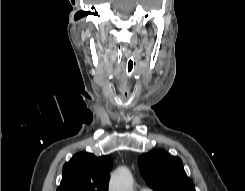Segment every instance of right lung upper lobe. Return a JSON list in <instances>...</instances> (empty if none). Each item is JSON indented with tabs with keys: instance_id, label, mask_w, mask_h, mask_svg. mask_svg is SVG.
I'll return each mask as SVG.
<instances>
[{
	"instance_id": "obj_1",
	"label": "right lung upper lobe",
	"mask_w": 245,
	"mask_h": 191,
	"mask_svg": "<svg viewBox=\"0 0 245 191\" xmlns=\"http://www.w3.org/2000/svg\"><path fill=\"white\" fill-rule=\"evenodd\" d=\"M111 167L108 156L77 153L64 165L57 191H107Z\"/></svg>"
}]
</instances>
